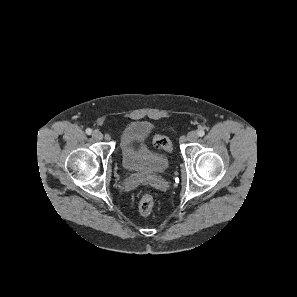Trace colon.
<instances>
[{
  "instance_id": "obj_1",
  "label": "colon",
  "mask_w": 297,
  "mask_h": 297,
  "mask_svg": "<svg viewBox=\"0 0 297 297\" xmlns=\"http://www.w3.org/2000/svg\"><path fill=\"white\" fill-rule=\"evenodd\" d=\"M153 145L158 149H163L169 152L173 149L170 140L162 134H156L153 137ZM153 206V196L149 192L143 193L138 204L139 213L144 217L149 216L152 212Z\"/></svg>"
}]
</instances>
